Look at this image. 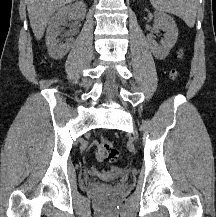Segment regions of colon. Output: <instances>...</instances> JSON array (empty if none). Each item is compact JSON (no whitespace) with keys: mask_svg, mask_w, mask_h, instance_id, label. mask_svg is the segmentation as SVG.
Instances as JSON below:
<instances>
[{"mask_svg":"<svg viewBox=\"0 0 216 217\" xmlns=\"http://www.w3.org/2000/svg\"><path fill=\"white\" fill-rule=\"evenodd\" d=\"M173 77H178L179 72L174 70ZM97 157L102 162L112 163L119 157V150L114 143L106 138H102L97 142Z\"/></svg>","mask_w":216,"mask_h":217,"instance_id":"5ec220e1","label":"colon"}]
</instances>
